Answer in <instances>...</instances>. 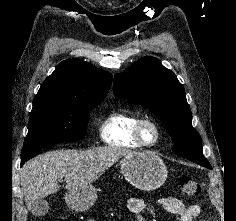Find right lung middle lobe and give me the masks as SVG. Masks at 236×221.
<instances>
[{
  "label": "right lung middle lobe",
  "instance_id": "dd1d6c3e",
  "mask_svg": "<svg viewBox=\"0 0 236 221\" xmlns=\"http://www.w3.org/2000/svg\"><path fill=\"white\" fill-rule=\"evenodd\" d=\"M100 102H33L21 156L53 144L82 140L90 110Z\"/></svg>",
  "mask_w": 236,
  "mask_h": 221
}]
</instances>
